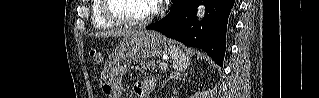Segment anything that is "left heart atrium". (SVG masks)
<instances>
[{
	"label": "left heart atrium",
	"mask_w": 319,
	"mask_h": 98,
	"mask_svg": "<svg viewBox=\"0 0 319 98\" xmlns=\"http://www.w3.org/2000/svg\"><path fill=\"white\" fill-rule=\"evenodd\" d=\"M155 4H160L162 1H153Z\"/></svg>",
	"instance_id": "1"
}]
</instances>
